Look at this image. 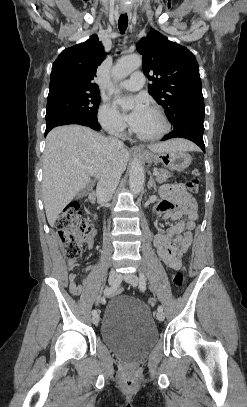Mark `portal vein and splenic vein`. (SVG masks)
<instances>
[{"mask_svg": "<svg viewBox=\"0 0 247 407\" xmlns=\"http://www.w3.org/2000/svg\"><path fill=\"white\" fill-rule=\"evenodd\" d=\"M88 170V172L90 173V174H93L94 173V171L92 170V169H87ZM153 175L154 176H157L158 175V171H154L153 172Z\"/></svg>", "mask_w": 247, "mask_h": 407, "instance_id": "portal-vein-and-splenic-vein-1", "label": "portal vein and splenic vein"}]
</instances>
